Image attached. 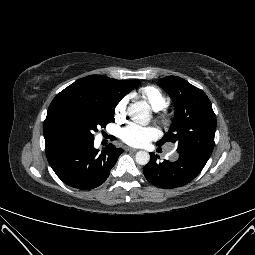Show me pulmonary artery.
<instances>
[{
	"label": "pulmonary artery",
	"mask_w": 255,
	"mask_h": 255,
	"mask_svg": "<svg viewBox=\"0 0 255 255\" xmlns=\"http://www.w3.org/2000/svg\"><path fill=\"white\" fill-rule=\"evenodd\" d=\"M167 156H168L170 159H172V160L176 158V151H175V148H174V147H172V148L169 150Z\"/></svg>",
	"instance_id": "pulmonary-artery-1"
}]
</instances>
